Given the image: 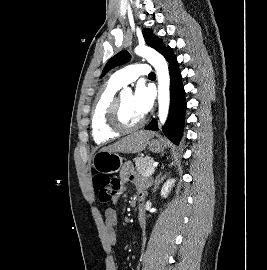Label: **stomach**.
I'll use <instances>...</instances> for the list:
<instances>
[{"label":"stomach","instance_id":"obj_1","mask_svg":"<svg viewBox=\"0 0 267 270\" xmlns=\"http://www.w3.org/2000/svg\"><path fill=\"white\" fill-rule=\"evenodd\" d=\"M151 135L148 138L147 145L151 151L159 152L167 146L166 143L155 140ZM123 158L117 152L100 150L93 157V167L96 171L104 174H112L122 167Z\"/></svg>","mask_w":267,"mask_h":270}]
</instances>
